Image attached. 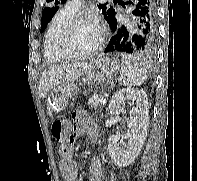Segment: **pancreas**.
<instances>
[{"label":"pancreas","mask_w":197,"mask_h":181,"mask_svg":"<svg viewBox=\"0 0 197 181\" xmlns=\"http://www.w3.org/2000/svg\"><path fill=\"white\" fill-rule=\"evenodd\" d=\"M103 98L102 94H94L88 100V105L90 107L97 108L100 105V100Z\"/></svg>","instance_id":"1"}]
</instances>
